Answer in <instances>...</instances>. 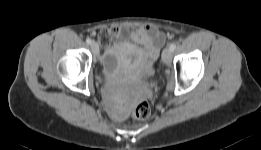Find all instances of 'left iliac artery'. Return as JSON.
Listing matches in <instances>:
<instances>
[{
	"instance_id": "left-iliac-artery-1",
	"label": "left iliac artery",
	"mask_w": 261,
	"mask_h": 150,
	"mask_svg": "<svg viewBox=\"0 0 261 150\" xmlns=\"http://www.w3.org/2000/svg\"><path fill=\"white\" fill-rule=\"evenodd\" d=\"M175 48H176V44H175V43H172V44L170 45V49H171V51H174Z\"/></svg>"
}]
</instances>
